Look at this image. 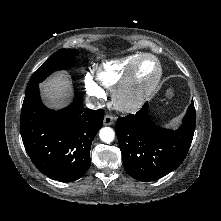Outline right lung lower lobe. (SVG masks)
Returning <instances> with one entry per match:
<instances>
[{
  "label": "right lung lower lobe",
  "instance_id": "1",
  "mask_svg": "<svg viewBox=\"0 0 221 221\" xmlns=\"http://www.w3.org/2000/svg\"><path fill=\"white\" fill-rule=\"evenodd\" d=\"M104 110H84L79 94L72 104L54 111L45 107L39 88L25 93L20 131L24 147L37 169L46 176L72 182L90 165L92 140L103 126Z\"/></svg>",
  "mask_w": 221,
  "mask_h": 221
}]
</instances>
